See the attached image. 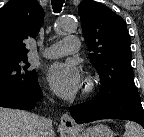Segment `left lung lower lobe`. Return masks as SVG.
Instances as JSON below:
<instances>
[{"mask_svg": "<svg viewBox=\"0 0 144 137\" xmlns=\"http://www.w3.org/2000/svg\"><path fill=\"white\" fill-rule=\"evenodd\" d=\"M79 124L100 119H123L139 123L144 128V110L138 93L106 99L97 94L91 101L69 108Z\"/></svg>", "mask_w": 144, "mask_h": 137, "instance_id": "obj_1", "label": "left lung lower lobe"}]
</instances>
